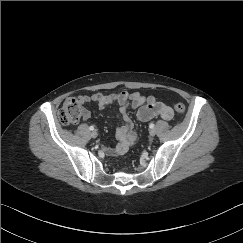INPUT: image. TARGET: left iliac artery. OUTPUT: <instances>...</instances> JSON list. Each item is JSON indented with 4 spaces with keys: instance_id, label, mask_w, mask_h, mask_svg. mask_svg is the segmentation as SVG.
I'll use <instances>...</instances> for the list:
<instances>
[{
    "instance_id": "obj_1",
    "label": "left iliac artery",
    "mask_w": 243,
    "mask_h": 243,
    "mask_svg": "<svg viewBox=\"0 0 243 243\" xmlns=\"http://www.w3.org/2000/svg\"><path fill=\"white\" fill-rule=\"evenodd\" d=\"M154 126H155V125H154L153 123H150V124H149V128H151V129H153Z\"/></svg>"
}]
</instances>
